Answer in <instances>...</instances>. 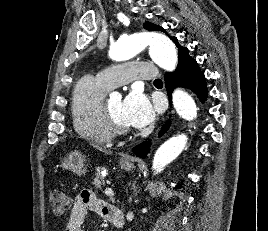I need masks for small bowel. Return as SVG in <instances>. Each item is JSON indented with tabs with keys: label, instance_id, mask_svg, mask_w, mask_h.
I'll return each mask as SVG.
<instances>
[{
	"label": "small bowel",
	"instance_id": "small-bowel-1",
	"mask_svg": "<svg viewBox=\"0 0 268 231\" xmlns=\"http://www.w3.org/2000/svg\"><path fill=\"white\" fill-rule=\"evenodd\" d=\"M112 210L113 208L105 202L97 199L93 191L84 189L76 196L72 203L65 231H84L82 225L89 211L98 213L105 219L110 220Z\"/></svg>",
	"mask_w": 268,
	"mask_h": 231
}]
</instances>
